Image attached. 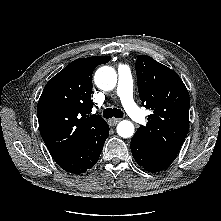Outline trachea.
<instances>
[{
	"label": "trachea",
	"instance_id": "trachea-1",
	"mask_svg": "<svg viewBox=\"0 0 221 221\" xmlns=\"http://www.w3.org/2000/svg\"><path fill=\"white\" fill-rule=\"evenodd\" d=\"M123 112L120 109L117 108H107L103 112V116L105 118H122L123 117Z\"/></svg>",
	"mask_w": 221,
	"mask_h": 221
}]
</instances>
